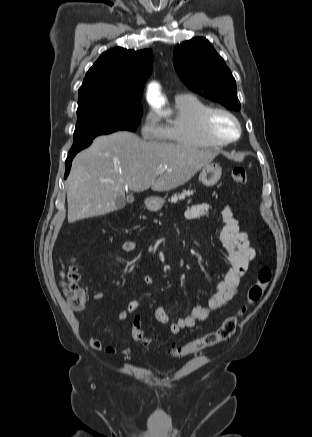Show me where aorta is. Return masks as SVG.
Segmentation results:
<instances>
[{
	"mask_svg": "<svg viewBox=\"0 0 312 437\" xmlns=\"http://www.w3.org/2000/svg\"><path fill=\"white\" fill-rule=\"evenodd\" d=\"M148 101L156 109H160L164 99L159 96L157 85H151L148 91Z\"/></svg>",
	"mask_w": 312,
	"mask_h": 437,
	"instance_id": "aorta-1",
	"label": "aorta"
}]
</instances>
